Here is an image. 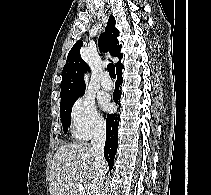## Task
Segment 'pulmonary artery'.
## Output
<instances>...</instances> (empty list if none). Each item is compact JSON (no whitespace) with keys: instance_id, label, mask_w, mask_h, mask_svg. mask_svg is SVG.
<instances>
[{"instance_id":"e3ab8cb5","label":"pulmonary artery","mask_w":211,"mask_h":195,"mask_svg":"<svg viewBox=\"0 0 211 195\" xmlns=\"http://www.w3.org/2000/svg\"><path fill=\"white\" fill-rule=\"evenodd\" d=\"M101 86L105 90H111L113 87V82L111 78L109 77L108 73H104L101 78Z\"/></svg>"}]
</instances>
